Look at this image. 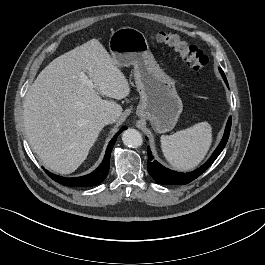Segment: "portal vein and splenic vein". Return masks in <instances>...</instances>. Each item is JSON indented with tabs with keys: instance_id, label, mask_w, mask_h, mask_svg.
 <instances>
[{
	"instance_id": "18ae733b",
	"label": "portal vein and splenic vein",
	"mask_w": 265,
	"mask_h": 265,
	"mask_svg": "<svg viewBox=\"0 0 265 265\" xmlns=\"http://www.w3.org/2000/svg\"><path fill=\"white\" fill-rule=\"evenodd\" d=\"M81 78L90 86H92V81L88 79V77L86 76V74L84 72L81 73Z\"/></svg>"
}]
</instances>
